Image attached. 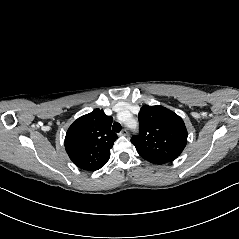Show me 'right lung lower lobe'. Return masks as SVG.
<instances>
[{
  "label": "right lung lower lobe",
  "instance_id": "1",
  "mask_svg": "<svg viewBox=\"0 0 239 239\" xmlns=\"http://www.w3.org/2000/svg\"><path fill=\"white\" fill-rule=\"evenodd\" d=\"M102 166H103V165L99 166V167H98V168H96V169H99V168H100V167H102ZM96 169H95V170H96Z\"/></svg>",
  "mask_w": 239,
  "mask_h": 239
}]
</instances>
